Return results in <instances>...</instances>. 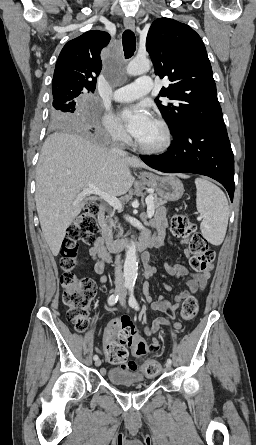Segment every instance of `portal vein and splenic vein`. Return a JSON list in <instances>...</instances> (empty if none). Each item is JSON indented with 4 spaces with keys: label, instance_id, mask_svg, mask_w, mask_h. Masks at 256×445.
<instances>
[{
    "label": "portal vein and splenic vein",
    "instance_id": "18ae733b",
    "mask_svg": "<svg viewBox=\"0 0 256 445\" xmlns=\"http://www.w3.org/2000/svg\"><path fill=\"white\" fill-rule=\"evenodd\" d=\"M90 194H95V195L100 196L102 199H104L109 205H111L115 209L122 208V203L120 202V200H118V198H116L115 196H113L111 194L102 192L98 187H96L93 184H89L88 187L84 188L81 192V196H86V195H90ZM146 203H147V216H148V218H152L155 213V208L153 205V198L148 197L146 199Z\"/></svg>",
    "mask_w": 256,
    "mask_h": 445
}]
</instances>
